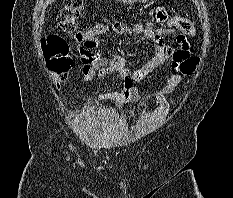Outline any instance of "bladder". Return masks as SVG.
Wrapping results in <instances>:
<instances>
[{
    "instance_id": "bladder-1",
    "label": "bladder",
    "mask_w": 233,
    "mask_h": 198,
    "mask_svg": "<svg viewBox=\"0 0 233 198\" xmlns=\"http://www.w3.org/2000/svg\"><path fill=\"white\" fill-rule=\"evenodd\" d=\"M79 128L87 142L102 145L121 133L120 117L114 112L88 110L81 115Z\"/></svg>"
}]
</instances>
